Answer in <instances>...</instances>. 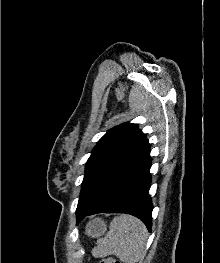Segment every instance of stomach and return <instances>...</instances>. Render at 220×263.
<instances>
[{
	"label": "stomach",
	"instance_id": "0dacf381",
	"mask_svg": "<svg viewBox=\"0 0 220 263\" xmlns=\"http://www.w3.org/2000/svg\"><path fill=\"white\" fill-rule=\"evenodd\" d=\"M106 231V224L100 218L90 221L86 226V234L91 237H99Z\"/></svg>",
	"mask_w": 220,
	"mask_h": 263
}]
</instances>
